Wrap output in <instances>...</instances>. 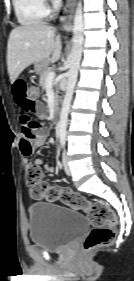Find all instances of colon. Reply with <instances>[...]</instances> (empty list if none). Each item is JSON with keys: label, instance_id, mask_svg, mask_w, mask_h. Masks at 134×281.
Returning <instances> with one entry per match:
<instances>
[{"label": "colon", "instance_id": "obj_1", "mask_svg": "<svg viewBox=\"0 0 134 281\" xmlns=\"http://www.w3.org/2000/svg\"><path fill=\"white\" fill-rule=\"evenodd\" d=\"M39 95V87L35 84H30L28 86L29 99L36 101ZM25 179L33 198H44L51 202H61L74 209L83 210L87 213L93 229L83 243L85 251L90 252L113 243L116 236L115 227L117 220L115 214L107 204L103 202H91L68 188L49 185L43 179L42 170L38 166L27 168Z\"/></svg>", "mask_w": 134, "mask_h": 281}]
</instances>
